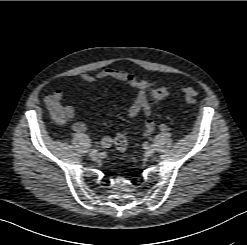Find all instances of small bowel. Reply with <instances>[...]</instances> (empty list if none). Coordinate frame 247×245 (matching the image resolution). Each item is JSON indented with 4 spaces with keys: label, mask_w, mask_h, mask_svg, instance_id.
<instances>
[{
    "label": "small bowel",
    "mask_w": 247,
    "mask_h": 245,
    "mask_svg": "<svg viewBox=\"0 0 247 245\" xmlns=\"http://www.w3.org/2000/svg\"><path fill=\"white\" fill-rule=\"evenodd\" d=\"M112 79L126 83L136 91V97L128 109V116L135 118L142 113L144 117V129L142 135L150 136L154 129L155 123L151 118V106L147 99V91L153 86L163 83V80L148 81L139 78L136 74L123 71L116 68L107 67L95 74L83 73L79 76V81L86 84H94L101 80ZM63 91L57 89L46 97L45 103L53 118L60 124H68L73 132L83 134L87 127L83 122L74 120V108L69 105H63ZM112 144L109 136H102L100 145L108 148Z\"/></svg>",
    "instance_id": "c3829d8e"
}]
</instances>
